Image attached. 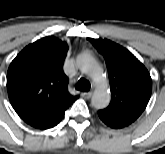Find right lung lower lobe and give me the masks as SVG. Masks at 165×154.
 Listing matches in <instances>:
<instances>
[{"instance_id": "1", "label": "right lung lower lobe", "mask_w": 165, "mask_h": 154, "mask_svg": "<svg viewBox=\"0 0 165 154\" xmlns=\"http://www.w3.org/2000/svg\"><path fill=\"white\" fill-rule=\"evenodd\" d=\"M78 97H66L57 102L51 107L38 112L34 115L28 116L23 120L39 129H48L56 126L63 118L65 110L77 99Z\"/></svg>"}]
</instances>
